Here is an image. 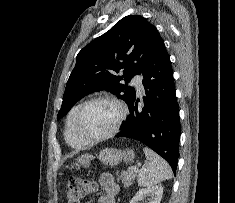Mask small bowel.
<instances>
[{
    "mask_svg": "<svg viewBox=\"0 0 235 203\" xmlns=\"http://www.w3.org/2000/svg\"><path fill=\"white\" fill-rule=\"evenodd\" d=\"M99 181L103 194L99 197L98 203H116L119 186L114 178L109 174H103Z\"/></svg>",
    "mask_w": 235,
    "mask_h": 203,
    "instance_id": "c3829d8e",
    "label": "small bowel"
}]
</instances>
